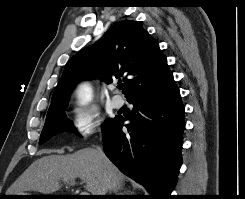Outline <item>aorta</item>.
<instances>
[{"label": "aorta", "mask_w": 245, "mask_h": 199, "mask_svg": "<svg viewBox=\"0 0 245 199\" xmlns=\"http://www.w3.org/2000/svg\"><path fill=\"white\" fill-rule=\"evenodd\" d=\"M91 88L89 85H82L78 90V101L80 105H87L91 99Z\"/></svg>", "instance_id": "1"}]
</instances>
